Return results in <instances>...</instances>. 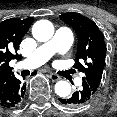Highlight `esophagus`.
I'll return each mask as SVG.
<instances>
[{
  "instance_id": "1",
  "label": "esophagus",
  "mask_w": 117,
  "mask_h": 117,
  "mask_svg": "<svg viewBox=\"0 0 117 117\" xmlns=\"http://www.w3.org/2000/svg\"><path fill=\"white\" fill-rule=\"evenodd\" d=\"M49 77H50V79H52L53 81H58V80L60 79V77H59L57 74H55V73H50V74H49Z\"/></svg>"
}]
</instances>
